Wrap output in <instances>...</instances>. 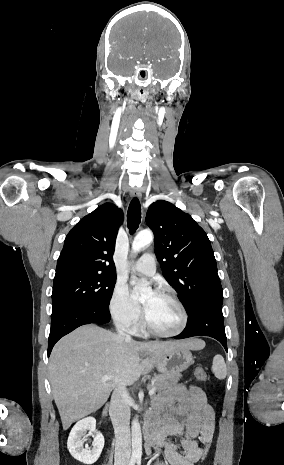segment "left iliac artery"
Segmentation results:
<instances>
[{
	"label": "left iliac artery",
	"mask_w": 284,
	"mask_h": 465,
	"mask_svg": "<svg viewBox=\"0 0 284 465\" xmlns=\"http://www.w3.org/2000/svg\"><path fill=\"white\" fill-rule=\"evenodd\" d=\"M137 464H138V465H141V460H137Z\"/></svg>",
	"instance_id": "left-iliac-artery-1"
}]
</instances>
